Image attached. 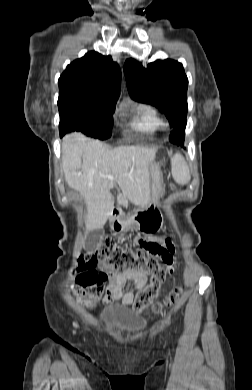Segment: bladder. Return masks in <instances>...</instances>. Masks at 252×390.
<instances>
[{"mask_svg":"<svg viewBox=\"0 0 252 390\" xmlns=\"http://www.w3.org/2000/svg\"><path fill=\"white\" fill-rule=\"evenodd\" d=\"M101 321L104 329L112 335L136 334L146 326L141 319L122 311H109L102 315Z\"/></svg>","mask_w":252,"mask_h":390,"instance_id":"obj_1","label":"bladder"}]
</instances>
